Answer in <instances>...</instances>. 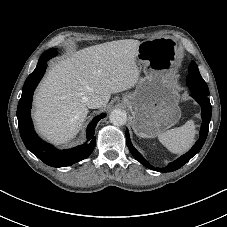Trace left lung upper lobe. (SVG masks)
Instances as JSON below:
<instances>
[{"instance_id":"1","label":"left lung upper lobe","mask_w":227,"mask_h":227,"mask_svg":"<svg viewBox=\"0 0 227 227\" xmlns=\"http://www.w3.org/2000/svg\"><path fill=\"white\" fill-rule=\"evenodd\" d=\"M187 86L192 91H197L204 95H209V89L205 81L202 79L198 67L195 62H191L189 66V75L187 76Z\"/></svg>"}]
</instances>
